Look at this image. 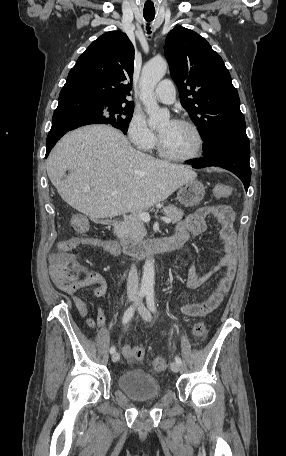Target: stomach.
I'll return each mask as SVG.
<instances>
[{
  "mask_svg": "<svg viewBox=\"0 0 286 456\" xmlns=\"http://www.w3.org/2000/svg\"><path fill=\"white\" fill-rule=\"evenodd\" d=\"M205 195V187L200 181H190L180 187L177 198L185 207L198 205Z\"/></svg>",
  "mask_w": 286,
  "mask_h": 456,
  "instance_id": "stomach-1",
  "label": "stomach"
}]
</instances>
